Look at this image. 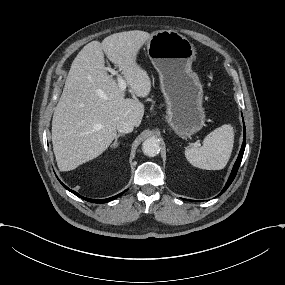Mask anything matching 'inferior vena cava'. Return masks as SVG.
Masks as SVG:
<instances>
[{
	"mask_svg": "<svg viewBox=\"0 0 285 285\" xmlns=\"http://www.w3.org/2000/svg\"><path fill=\"white\" fill-rule=\"evenodd\" d=\"M133 130V125L129 121H120L117 124V131L120 133H129L132 132Z\"/></svg>",
	"mask_w": 285,
	"mask_h": 285,
	"instance_id": "inferior-vena-cava-1",
	"label": "inferior vena cava"
}]
</instances>
